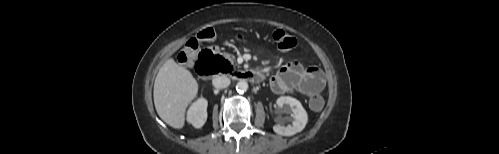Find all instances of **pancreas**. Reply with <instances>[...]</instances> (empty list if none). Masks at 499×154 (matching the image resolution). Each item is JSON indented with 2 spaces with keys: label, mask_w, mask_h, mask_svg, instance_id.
<instances>
[{
  "label": "pancreas",
  "mask_w": 499,
  "mask_h": 154,
  "mask_svg": "<svg viewBox=\"0 0 499 154\" xmlns=\"http://www.w3.org/2000/svg\"><path fill=\"white\" fill-rule=\"evenodd\" d=\"M229 57H230V56H229ZM233 59H234V56H231V57H230V60H233Z\"/></svg>",
  "instance_id": "pancreas-1"
}]
</instances>
